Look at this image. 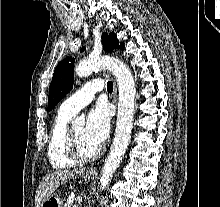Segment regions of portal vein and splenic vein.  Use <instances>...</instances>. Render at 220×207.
I'll return each instance as SVG.
<instances>
[{
  "instance_id": "portal-vein-and-splenic-vein-1",
  "label": "portal vein and splenic vein",
  "mask_w": 220,
  "mask_h": 207,
  "mask_svg": "<svg viewBox=\"0 0 220 207\" xmlns=\"http://www.w3.org/2000/svg\"><path fill=\"white\" fill-rule=\"evenodd\" d=\"M82 202V197H77L76 203L80 204Z\"/></svg>"
}]
</instances>
